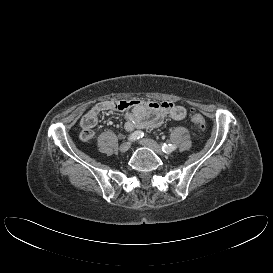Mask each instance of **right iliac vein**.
Returning a JSON list of instances; mask_svg holds the SVG:
<instances>
[{"instance_id":"right-iliac-vein-1","label":"right iliac vein","mask_w":273,"mask_h":273,"mask_svg":"<svg viewBox=\"0 0 273 273\" xmlns=\"http://www.w3.org/2000/svg\"><path fill=\"white\" fill-rule=\"evenodd\" d=\"M130 147H131L130 142H124L120 145L119 150L124 153L127 152L130 149Z\"/></svg>"}]
</instances>
